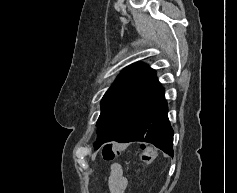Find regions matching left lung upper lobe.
<instances>
[{
	"label": "left lung upper lobe",
	"instance_id": "1",
	"mask_svg": "<svg viewBox=\"0 0 237 193\" xmlns=\"http://www.w3.org/2000/svg\"><path fill=\"white\" fill-rule=\"evenodd\" d=\"M157 82L155 71L146 64L135 63L121 72L117 81L107 90L101 101V114L97 121L99 148L116 141L147 90Z\"/></svg>",
	"mask_w": 237,
	"mask_h": 193
}]
</instances>
